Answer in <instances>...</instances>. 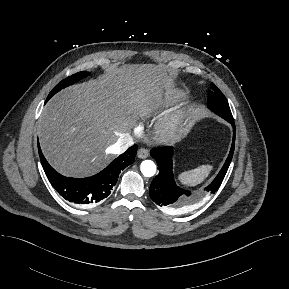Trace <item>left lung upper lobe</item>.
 <instances>
[{"instance_id":"left-lung-upper-lobe-1","label":"left lung upper lobe","mask_w":289,"mask_h":289,"mask_svg":"<svg viewBox=\"0 0 289 289\" xmlns=\"http://www.w3.org/2000/svg\"><path fill=\"white\" fill-rule=\"evenodd\" d=\"M210 88L212 91L208 94V108L222 118L228 119L233 117L227 99L223 93L213 83H211Z\"/></svg>"}]
</instances>
